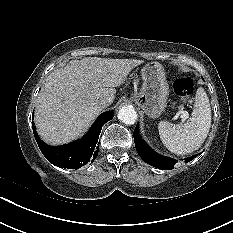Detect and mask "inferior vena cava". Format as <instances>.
<instances>
[{
  "mask_svg": "<svg viewBox=\"0 0 233 233\" xmlns=\"http://www.w3.org/2000/svg\"><path fill=\"white\" fill-rule=\"evenodd\" d=\"M109 104H110V101L107 98H101L99 100V105L103 108L107 107Z\"/></svg>",
  "mask_w": 233,
  "mask_h": 233,
  "instance_id": "1",
  "label": "inferior vena cava"
}]
</instances>
